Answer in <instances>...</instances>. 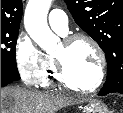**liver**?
I'll return each mask as SVG.
<instances>
[{"mask_svg":"<svg viewBox=\"0 0 123 113\" xmlns=\"http://www.w3.org/2000/svg\"><path fill=\"white\" fill-rule=\"evenodd\" d=\"M79 102L59 93H41L20 87L1 88V113H56Z\"/></svg>","mask_w":123,"mask_h":113,"instance_id":"liver-1","label":"liver"}]
</instances>
